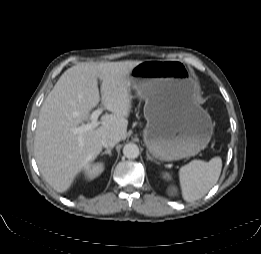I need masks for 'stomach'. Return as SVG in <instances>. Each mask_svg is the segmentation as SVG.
I'll list each match as a JSON object with an SVG mask.
<instances>
[{
  "label": "stomach",
  "mask_w": 261,
  "mask_h": 254,
  "mask_svg": "<svg viewBox=\"0 0 261 254\" xmlns=\"http://www.w3.org/2000/svg\"><path fill=\"white\" fill-rule=\"evenodd\" d=\"M129 87L145 101L143 138L161 161L198 154L213 134L210 115L196 101L198 86L178 60H147L128 75Z\"/></svg>",
  "instance_id": "obj_1"
}]
</instances>
